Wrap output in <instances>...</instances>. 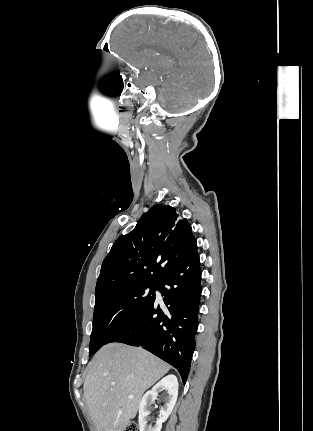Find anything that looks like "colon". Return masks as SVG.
Segmentation results:
<instances>
[{"mask_svg": "<svg viewBox=\"0 0 313 431\" xmlns=\"http://www.w3.org/2000/svg\"><path fill=\"white\" fill-rule=\"evenodd\" d=\"M125 431H138V427H137L136 423H134V422H130V423L126 426Z\"/></svg>", "mask_w": 313, "mask_h": 431, "instance_id": "obj_1", "label": "colon"}]
</instances>
